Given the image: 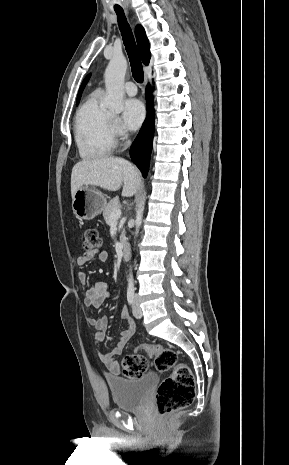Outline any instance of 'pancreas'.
<instances>
[{"instance_id": "obj_1", "label": "pancreas", "mask_w": 289, "mask_h": 465, "mask_svg": "<svg viewBox=\"0 0 289 465\" xmlns=\"http://www.w3.org/2000/svg\"><path fill=\"white\" fill-rule=\"evenodd\" d=\"M120 208H121V204L119 203L118 197L112 199L108 204H106V206L103 209V217L107 224H110L112 221L111 220L112 213ZM125 239H126L125 230H123L120 236V240L121 242H125Z\"/></svg>"}]
</instances>
